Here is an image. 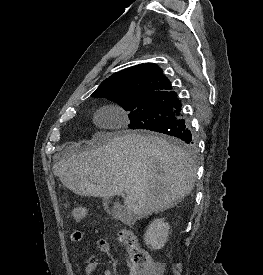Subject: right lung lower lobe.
<instances>
[{
    "instance_id": "98d812e1",
    "label": "right lung lower lobe",
    "mask_w": 263,
    "mask_h": 275,
    "mask_svg": "<svg viewBox=\"0 0 263 275\" xmlns=\"http://www.w3.org/2000/svg\"><path fill=\"white\" fill-rule=\"evenodd\" d=\"M153 131L174 136L190 145L193 144L192 134L182 117H179L166 125L155 128Z\"/></svg>"
}]
</instances>
